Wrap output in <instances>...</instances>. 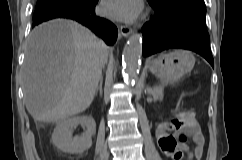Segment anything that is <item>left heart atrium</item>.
I'll use <instances>...</instances> for the list:
<instances>
[{
    "label": "left heart atrium",
    "instance_id": "1",
    "mask_svg": "<svg viewBox=\"0 0 242 160\" xmlns=\"http://www.w3.org/2000/svg\"><path fill=\"white\" fill-rule=\"evenodd\" d=\"M103 13L116 20L130 21L139 16L142 11L141 0H104Z\"/></svg>",
    "mask_w": 242,
    "mask_h": 160
}]
</instances>
